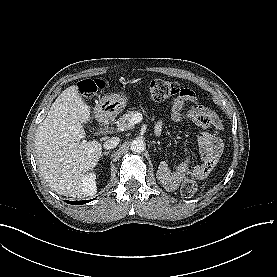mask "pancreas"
Wrapping results in <instances>:
<instances>
[{
	"label": "pancreas",
	"mask_w": 277,
	"mask_h": 277,
	"mask_svg": "<svg viewBox=\"0 0 277 277\" xmlns=\"http://www.w3.org/2000/svg\"><path fill=\"white\" fill-rule=\"evenodd\" d=\"M136 114V111L129 110L127 113H125L122 117L118 119L117 127L121 128L123 127L124 130L130 129L133 126L129 125V120Z\"/></svg>",
	"instance_id": "pancreas-1"
}]
</instances>
